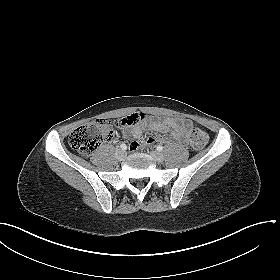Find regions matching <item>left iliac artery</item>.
Wrapping results in <instances>:
<instances>
[{
    "label": "left iliac artery",
    "instance_id": "44dca946",
    "mask_svg": "<svg viewBox=\"0 0 280 280\" xmlns=\"http://www.w3.org/2000/svg\"><path fill=\"white\" fill-rule=\"evenodd\" d=\"M157 150H158V151H162V150H163V147H162L161 145H158V146H157Z\"/></svg>",
    "mask_w": 280,
    "mask_h": 280
}]
</instances>
